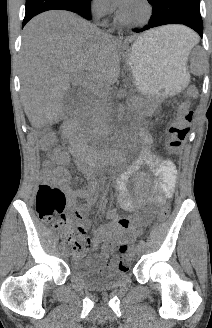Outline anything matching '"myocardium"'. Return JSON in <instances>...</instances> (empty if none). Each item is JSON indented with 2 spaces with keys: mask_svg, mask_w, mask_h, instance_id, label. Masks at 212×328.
Instances as JSON below:
<instances>
[{
  "mask_svg": "<svg viewBox=\"0 0 212 328\" xmlns=\"http://www.w3.org/2000/svg\"><path fill=\"white\" fill-rule=\"evenodd\" d=\"M136 3H138L142 10H143V15L139 19H131L128 18L124 12L120 13V20L123 24L131 27H138L142 25L144 22H146L151 14H152V7L149 3L148 0H136Z\"/></svg>",
  "mask_w": 212,
  "mask_h": 328,
  "instance_id": "myocardium-1",
  "label": "myocardium"
}]
</instances>
